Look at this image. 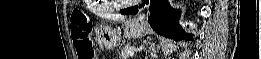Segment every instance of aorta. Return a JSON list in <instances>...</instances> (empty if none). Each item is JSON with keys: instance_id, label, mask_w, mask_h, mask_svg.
Returning <instances> with one entry per match:
<instances>
[{"instance_id": "762f6f07", "label": "aorta", "mask_w": 261, "mask_h": 59, "mask_svg": "<svg viewBox=\"0 0 261 59\" xmlns=\"http://www.w3.org/2000/svg\"><path fill=\"white\" fill-rule=\"evenodd\" d=\"M169 2H170V4H173L174 0H170Z\"/></svg>"}]
</instances>
